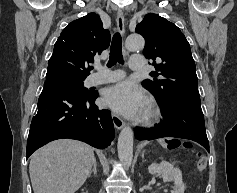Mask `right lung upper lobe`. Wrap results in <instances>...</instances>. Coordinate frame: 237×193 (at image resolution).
<instances>
[{
    "label": "right lung upper lobe",
    "mask_w": 237,
    "mask_h": 193,
    "mask_svg": "<svg viewBox=\"0 0 237 193\" xmlns=\"http://www.w3.org/2000/svg\"><path fill=\"white\" fill-rule=\"evenodd\" d=\"M110 33L103 28L99 16L89 13L72 21L60 34L48 61L47 71H61L86 78L91 71L89 63L94 56L107 49Z\"/></svg>",
    "instance_id": "cb5924a9"
}]
</instances>
